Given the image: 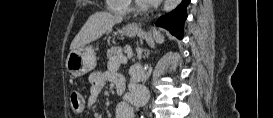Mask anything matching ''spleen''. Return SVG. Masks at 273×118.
Instances as JSON below:
<instances>
[{
  "instance_id": "3e777b00",
  "label": "spleen",
  "mask_w": 273,
  "mask_h": 118,
  "mask_svg": "<svg viewBox=\"0 0 273 118\" xmlns=\"http://www.w3.org/2000/svg\"><path fill=\"white\" fill-rule=\"evenodd\" d=\"M156 40L157 42L162 43L164 41V38L160 34L156 33Z\"/></svg>"
}]
</instances>
